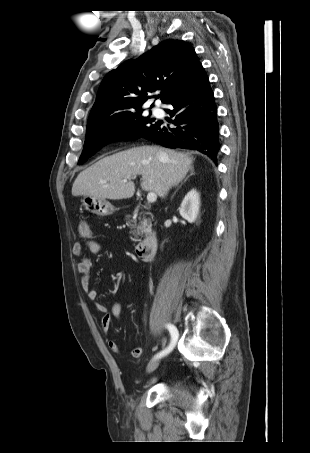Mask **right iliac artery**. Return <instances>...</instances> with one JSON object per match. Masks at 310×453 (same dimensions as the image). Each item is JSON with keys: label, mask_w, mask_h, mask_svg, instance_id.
Here are the masks:
<instances>
[{"label": "right iliac artery", "mask_w": 310, "mask_h": 453, "mask_svg": "<svg viewBox=\"0 0 310 453\" xmlns=\"http://www.w3.org/2000/svg\"><path fill=\"white\" fill-rule=\"evenodd\" d=\"M167 328H168V330H169V332L171 334V343L165 350H163L159 354H157L156 358L165 356L168 353H170L172 351V349L174 348V345H175V343H176V341L178 339L177 328L174 325H171V324H168Z\"/></svg>", "instance_id": "obj_1"}]
</instances>
